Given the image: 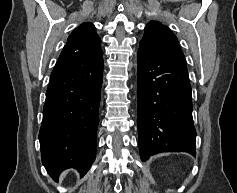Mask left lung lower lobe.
I'll list each match as a JSON object with an SVG mask.
<instances>
[{
  "label": "left lung lower lobe",
  "instance_id": "0a47b994",
  "mask_svg": "<svg viewBox=\"0 0 237 193\" xmlns=\"http://www.w3.org/2000/svg\"><path fill=\"white\" fill-rule=\"evenodd\" d=\"M137 56V127L142 161L159 152H187L196 156L186 64L141 43Z\"/></svg>",
  "mask_w": 237,
  "mask_h": 193
}]
</instances>
